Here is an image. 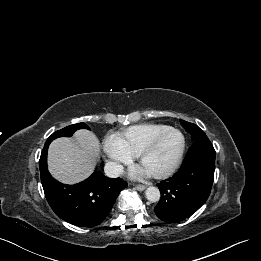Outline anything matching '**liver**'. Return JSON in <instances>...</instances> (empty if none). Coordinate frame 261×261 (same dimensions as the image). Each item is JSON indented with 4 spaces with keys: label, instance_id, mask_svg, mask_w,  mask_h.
<instances>
[{
    "label": "liver",
    "instance_id": "1",
    "mask_svg": "<svg viewBox=\"0 0 261 261\" xmlns=\"http://www.w3.org/2000/svg\"><path fill=\"white\" fill-rule=\"evenodd\" d=\"M100 154L96 135L88 130H78L75 137L58 138L48 149V168L52 176L65 184L86 179L94 170Z\"/></svg>",
    "mask_w": 261,
    "mask_h": 261
}]
</instances>
